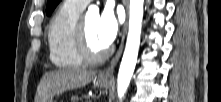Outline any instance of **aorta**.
<instances>
[{
  "instance_id": "obj_1",
  "label": "aorta",
  "mask_w": 221,
  "mask_h": 102,
  "mask_svg": "<svg viewBox=\"0 0 221 102\" xmlns=\"http://www.w3.org/2000/svg\"><path fill=\"white\" fill-rule=\"evenodd\" d=\"M144 0H130L129 30L126 46L117 78L118 98L122 99L132 78L138 57L143 20ZM98 12L97 6H90L87 14Z\"/></svg>"
}]
</instances>
